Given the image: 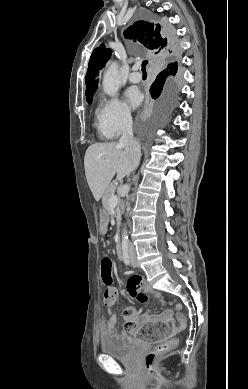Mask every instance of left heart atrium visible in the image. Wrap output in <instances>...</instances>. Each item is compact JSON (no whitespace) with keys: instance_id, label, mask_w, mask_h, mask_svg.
Listing matches in <instances>:
<instances>
[{"instance_id":"obj_1","label":"left heart atrium","mask_w":248,"mask_h":389,"mask_svg":"<svg viewBox=\"0 0 248 389\" xmlns=\"http://www.w3.org/2000/svg\"><path fill=\"white\" fill-rule=\"evenodd\" d=\"M125 99L130 107L135 108L141 102V95L136 89H128L125 93Z\"/></svg>"}]
</instances>
